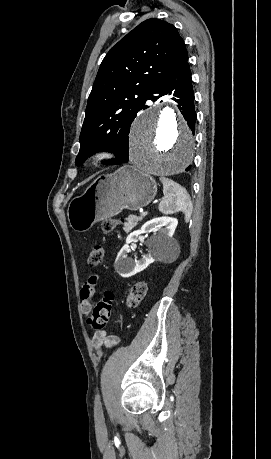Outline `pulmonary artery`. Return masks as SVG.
Masks as SVG:
<instances>
[{
	"label": "pulmonary artery",
	"mask_w": 271,
	"mask_h": 459,
	"mask_svg": "<svg viewBox=\"0 0 271 459\" xmlns=\"http://www.w3.org/2000/svg\"><path fill=\"white\" fill-rule=\"evenodd\" d=\"M144 103L147 105V106H152L154 104V99L152 97H147L145 100H144Z\"/></svg>",
	"instance_id": "pulmonary-artery-1"
}]
</instances>
